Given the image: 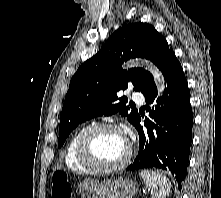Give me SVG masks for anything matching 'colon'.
Returning <instances> with one entry per match:
<instances>
[{
  "label": "colon",
  "mask_w": 221,
  "mask_h": 198,
  "mask_svg": "<svg viewBox=\"0 0 221 198\" xmlns=\"http://www.w3.org/2000/svg\"><path fill=\"white\" fill-rule=\"evenodd\" d=\"M52 198H71L72 186L64 172H56L52 178Z\"/></svg>",
  "instance_id": "colon-1"
}]
</instances>
